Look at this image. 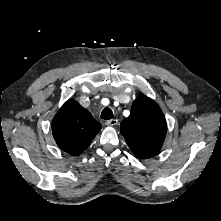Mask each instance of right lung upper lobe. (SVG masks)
<instances>
[{"label":"right lung upper lobe","instance_id":"obj_1","mask_svg":"<svg viewBox=\"0 0 221 221\" xmlns=\"http://www.w3.org/2000/svg\"><path fill=\"white\" fill-rule=\"evenodd\" d=\"M101 127L91 113L72 98L63 104L52 121L57 145L71 155L81 154Z\"/></svg>","mask_w":221,"mask_h":221}]
</instances>
